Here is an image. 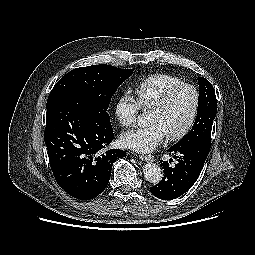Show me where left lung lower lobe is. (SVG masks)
Here are the masks:
<instances>
[{"instance_id":"0a47b994","label":"left lung lower lobe","mask_w":255,"mask_h":255,"mask_svg":"<svg viewBox=\"0 0 255 255\" xmlns=\"http://www.w3.org/2000/svg\"><path fill=\"white\" fill-rule=\"evenodd\" d=\"M210 143L199 141L181 147H171L169 154L174 155L178 163L170 167L167 161H161L164 177L150 188L151 193L163 200L176 199L187 192L198 179L210 150Z\"/></svg>"}]
</instances>
